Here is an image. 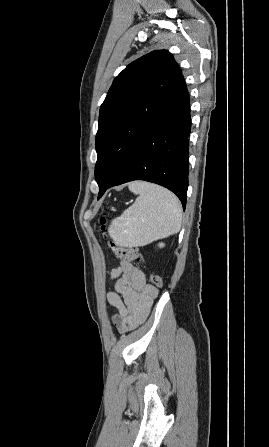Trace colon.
I'll use <instances>...</instances> for the list:
<instances>
[{
    "label": "colon",
    "mask_w": 269,
    "mask_h": 447,
    "mask_svg": "<svg viewBox=\"0 0 269 447\" xmlns=\"http://www.w3.org/2000/svg\"><path fill=\"white\" fill-rule=\"evenodd\" d=\"M109 221V215L106 210V208L102 209V213L99 218V223L101 229L104 231V238L108 240L109 246L111 248V251L116 255L118 258L135 263V264H141L142 262V255L139 252L138 249L135 248H129V247H122L119 244L115 243L112 239H110L108 232L106 231V225ZM151 283L156 288H161L162 286V278L158 275H151L150 276Z\"/></svg>",
    "instance_id": "obj_1"
}]
</instances>
